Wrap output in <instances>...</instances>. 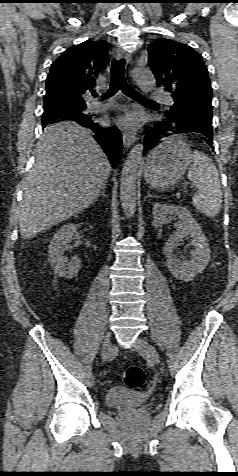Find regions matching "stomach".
<instances>
[{
    "label": "stomach",
    "mask_w": 238,
    "mask_h": 476,
    "mask_svg": "<svg viewBox=\"0 0 238 476\" xmlns=\"http://www.w3.org/2000/svg\"><path fill=\"white\" fill-rule=\"evenodd\" d=\"M192 153L178 137L165 139L147 156L144 178L151 187L168 190L174 187L190 167Z\"/></svg>",
    "instance_id": "obj_1"
}]
</instances>
